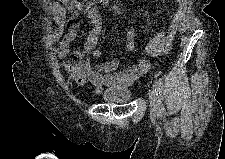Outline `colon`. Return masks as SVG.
Segmentation results:
<instances>
[{"label":"colon","mask_w":225,"mask_h":159,"mask_svg":"<svg viewBox=\"0 0 225 159\" xmlns=\"http://www.w3.org/2000/svg\"><path fill=\"white\" fill-rule=\"evenodd\" d=\"M59 2L61 3H64V4H68L71 2V0H58ZM97 1H100V2H107L108 0H97Z\"/></svg>","instance_id":"obj_1"}]
</instances>
